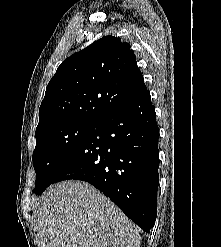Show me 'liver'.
Returning <instances> with one entry per match:
<instances>
[{"instance_id": "6515ba94", "label": "liver", "mask_w": 221, "mask_h": 247, "mask_svg": "<svg viewBox=\"0 0 221 247\" xmlns=\"http://www.w3.org/2000/svg\"><path fill=\"white\" fill-rule=\"evenodd\" d=\"M39 247H140L137 227L88 183L48 188L33 212Z\"/></svg>"}]
</instances>
